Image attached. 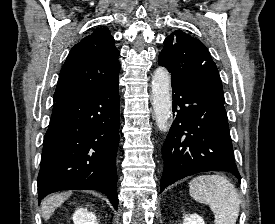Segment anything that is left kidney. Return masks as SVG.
Segmentation results:
<instances>
[{"label": "left kidney", "mask_w": 275, "mask_h": 224, "mask_svg": "<svg viewBox=\"0 0 275 224\" xmlns=\"http://www.w3.org/2000/svg\"><path fill=\"white\" fill-rule=\"evenodd\" d=\"M183 224H205L202 217L196 213L187 215L183 219Z\"/></svg>", "instance_id": "5707ae66"}]
</instances>
